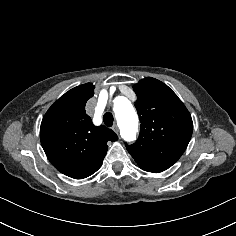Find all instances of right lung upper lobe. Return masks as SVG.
I'll return each instance as SVG.
<instances>
[{
    "label": "right lung upper lobe",
    "instance_id": "obj_1",
    "mask_svg": "<svg viewBox=\"0 0 236 236\" xmlns=\"http://www.w3.org/2000/svg\"><path fill=\"white\" fill-rule=\"evenodd\" d=\"M94 88L86 83L69 90L49 108L41 122L40 140L48 159L61 173L75 179L95 173L106 155L107 142L118 139L111 129L95 127L85 113Z\"/></svg>",
    "mask_w": 236,
    "mask_h": 236
}]
</instances>
